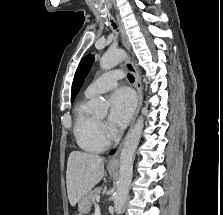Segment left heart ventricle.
<instances>
[{
	"label": "left heart ventricle",
	"mask_w": 223,
	"mask_h": 215,
	"mask_svg": "<svg viewBox=\"0 0 223 215\" xmlns=\"http://www.w3.org/2000/svg\"><path fill=\"white\" fill-rule=\"evenodd\" d=\"M104 117H105V115H103V116H98L97 118H98V120L103 121Z\"/></svg>",
	"instance_id": "b2bd125f"
}]
</instances>
